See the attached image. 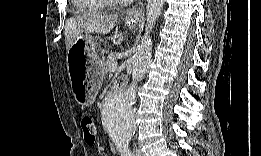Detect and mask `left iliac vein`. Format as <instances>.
I'll return each instance as SVG.
<instances>
[{"mask_svg": "<svg viewBox=\"0 0 261 156\" xmlns=\"http://www.w3.org/2000/svg\"><path fill=\"white\" fill-rule=\"evenodd\" d=\"M135 155H137V156H144V153L142 152V150L140 148H137L135 150Z\"/></svg>", "mask_w": 261, "mask_h": 156, "instance_id": "left-iliac-vein-1", "label": "left iliac vein"}]
</instances>
